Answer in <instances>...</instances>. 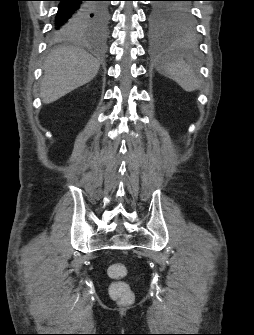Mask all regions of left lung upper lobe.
Here are the masks:
<instances>
[{
  "label": "left lung upper lobe",
  "mask_w": 254,
  "mask_h": 335,
  "mask_svg": "<svg viewBox=\"0 0 254 335\" xmlns=\"http://www.w3.org/2000/svg\"><path fill=\"white\" fill-rule=\"evenodd\" d=\"M154 1L149 15L151 34L163 36L192 32L195 27L191 0Z\"/></svg>",
  "instance_id": "1"
}]
</instances>
